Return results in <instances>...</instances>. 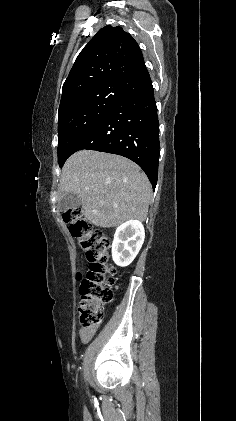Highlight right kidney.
I'll use <instances>...</instances> for the list:
<instances>
[{"label":"right kidney","mask_w":236,"mask_h":421,"mask_svg":"<svg viewBox=\"0 0 236 421\" xmlns=\"http://www.w3.org/2000/svg\"><path fill=\"white\" fill-rule=\"evenodd\" d=\"M145 239L140 221H127L116 229L112 243V259L118 267H128L138 255Z\"/></svg>","instance_id":"1"}]
</instances>
